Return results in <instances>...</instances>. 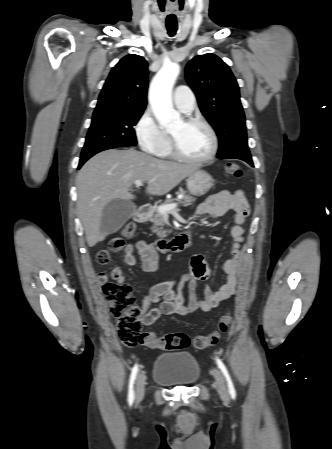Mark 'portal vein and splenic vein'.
<instances>
[{"label": "portal vein and splenic vein", "mask_w": 332, "mask_h": 449, "mask_svg": "<svg viewBox=\"0 0 332 449\" xmlns=\"http://www.w3.org/2000/svg\"><path fill=\"white\" fill-rule=\"evenodd\" d=\"M134 185H135L136 187H140V186H142V181L136 180V181L134 182ZM176 208H177V203H171V204H168V205L160 206V207L158 208V210H159V212H160L161 214H167V213H170V212L176 210Z\"/></svg>", "instance_id": "18ae733b"}]
</instances>
